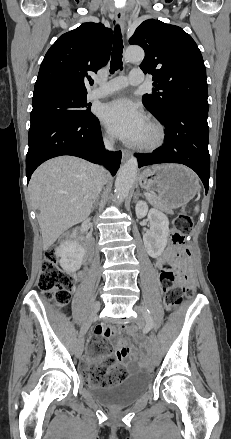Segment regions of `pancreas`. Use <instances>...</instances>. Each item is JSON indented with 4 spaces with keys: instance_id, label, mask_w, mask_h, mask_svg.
I'll use <instances>...</instances> for the list:
<instances>
[{
    "instance_id": "obj_1",
    "label": "pancreas",
    "mask_w": 231,
    "mask_h": 439,
    "mask_svg": "<svg viewBox=\"0 0 231 439\" xmlns=\"http://www.w3.org/2000/svg\"><path fill=\"white\" fill-rule=\"evenodd\" d=\"M153 197L152 198H147L149 203L157 208L163 209L162 204L160 202V200L158 199V197L154 194H151ZM167 212H169V210H166Z\"/></svg>"
}]
</instances>
